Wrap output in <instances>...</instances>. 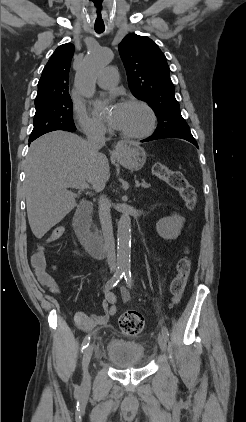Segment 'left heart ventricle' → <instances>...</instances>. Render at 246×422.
Returning a JSON list of instances; mask_svg holds the SVG:
<instances>
[{
    "instance_id": "b2bd125f",
    "label": "left heart ventricle",
    "mask_w": 246,
    "mask_h": 422,
    "mask_svg": "<svg viewBox=\"0 0 246 422\" xmlns=\"http://www.w3.org/2000/svg\"><path fill=\"white\" fill-rule=\"evenodd\" d=\"M148 122L146 112L137 105L123 104L122 118L119 129L127 132H139Z\"/></svg>"
}]
</instances>
